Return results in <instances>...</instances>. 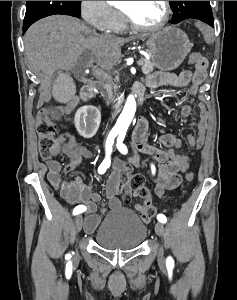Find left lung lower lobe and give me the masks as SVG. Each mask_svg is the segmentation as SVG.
<instances>
[{"label": "left lung lower lobe", "instance_id": "left-lung-lower-lobe-1", "mask_svg": "<svg viewBox=\"0 0 237 300\" xmlns=\"http://www.w3.org/2000/svg\"><path fill=\"white\" fill-rule=\"evenodd\" d=\"M207 24H209L210 26L214 27V20H209V21L207 22Z\"/></svg>", "mask_w": 237, "mask_h": 300}]
</instances>
